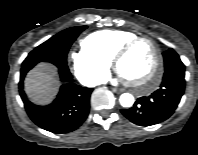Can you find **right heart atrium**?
I'll return each instance as SVG.
<instances>
[{"label":"right heart atrium","instance_id":"obj_1","mask_svg":"<svg viewBox=\"0 0 198 155\" xmlns=\"http://www.w3.org/2000/svg\"><path fill=\"white\" fill-rule=\"evenodd\" d=\"M69 61L75 76L84 84L96 85L105 80L110 62L89 51L84 46L69 53Z\"/></svg>","mask_w":198,"mask_h":155}]
</instances>
